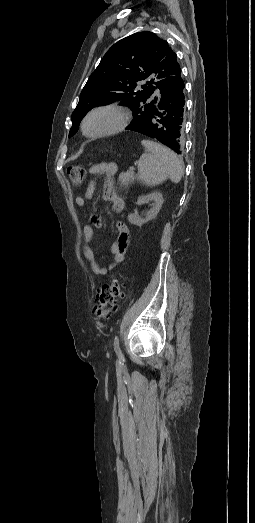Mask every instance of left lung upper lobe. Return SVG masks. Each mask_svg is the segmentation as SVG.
Listing matches in <instances>:
<instances>
[{
  "label": "left lung upper lobe",
  "mask_w": 255,
  "mask_h": 523,
  "mask_svg": "<svg viewBox=\"0 0 255 523\" xmlns=\"http://www.w3.org/2000/svg\"><path fill=\"white\" fill-rule=\"evenodd\" d=\"M141 80L149 81L141 86L142 90H136V83ZM181 80L176 54L156 34L145 31L120 40L104 55L84 86L72 113L69 137L77 132L81 120L93 107L118 100L133 110V125H144L151 112L161 105L163 94ZM147 84H155L160 89V103L157 98L150 99L156 87ZM133 125L127 129L134 131Z\"/></svg>",
  "instance_id": "5c2ea615"
}]
</instances>
